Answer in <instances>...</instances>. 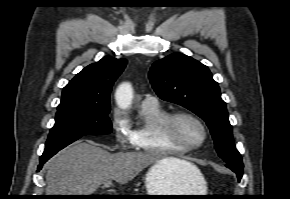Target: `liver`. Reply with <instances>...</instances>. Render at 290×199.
Here are the masks:
<instances>
[{"label":"liver","instance_id":"1","mask_svg":"<svg viewBox=\"0 0 290 199\" xmlns=\"http://www.w3.org/2000/svg\"><path fill=\"white\" fill-rule=\"evenodd\" d=\"M165 164L173 173H199L192 163L151 152L111 154L93 141H76L58 152L46 165L47 195H92L104 182L125 184L144 168Z\"/></svg>","mask_w":290,"mask_h":199}]
</instances>
